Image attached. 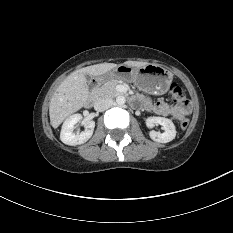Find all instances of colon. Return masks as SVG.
<instances>
[{
  "mask_svg": "<svg viewBox=\"0 0 233 233\" xmlns=\"http://www.w3.org/2000/svg\"><path fill=\"white\" fill-rule=\"evenodd\" d=\"M169 95L174 103L179 105H186L187 101L185 99V93L181 85L177 82H172L169 86ZM189 124L187 118H182L180 120V126L182 129H186Z\"/></svg>",
  "mask_w": 233,
  "mask_h": 233,
  "instance_id": "obj_1",
  "label": "colon"
}]
</instances>
